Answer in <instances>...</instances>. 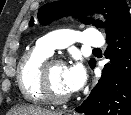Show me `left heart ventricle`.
I'll return each mask as SVG.
<instances>
[{"instance_id":"b2bd125f","label":"left heart ventricle","mask_w":131,"mask_h":115,"mask_svg":"<svg viewBox=\"0 0 131 115\" xmlns=\"http://www.w3.org/2000/svg\"><path fill=\"white\" fill-rule=\"evenodd\" d=\"M64 69L59 65H51L47 70L49 90L54 96L63 97L68 95L63 78Z\"/></svg>"}]
</instances>
